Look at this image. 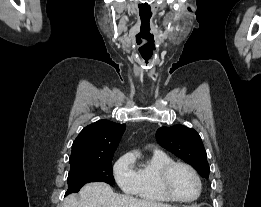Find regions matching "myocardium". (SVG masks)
<instances>
[{
    "label": "myocardium",
    "mask_w": 261,
    "mask_h": 207,
    "mask_svg": "<svg viewBox=\"0 0 261 207\" xmlns=\"http://www.w3.org/2000/svg\"><path fill=\"white\" fill-rule=\"evenodd\" d=\"M176 167H184L186 168L194 177V179L196 180L197 183V193L193 198L190 199H182L177 197L173 191L171 190L170 187V176L172 171L176 168ZM159 183H160V187L162 192L164 193V195L169 198L171 201L177 202V203H192L194 201H196L202 192V182L200 179L199 174L197 173V171L188 163L185 162H180V161H173L167 165H165L159 175Z\"/></svg>",
    "instance_id": "f54148a6"
}]
</instances>
